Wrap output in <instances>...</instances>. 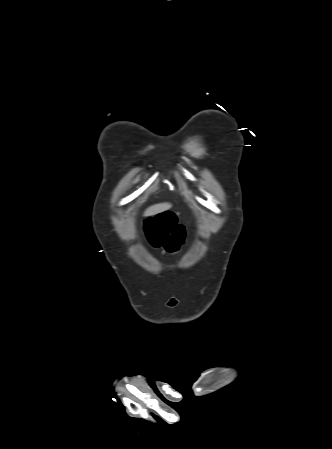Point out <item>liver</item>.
I'll use <instances>...</instances> for the list:
<instances>
[{
	"instance_id": "6515ba94",
	"label": "liver",
	"mask_w": 332,
	"mask_h": 449,
	"mask_svg": "<svg viewBox=\"0 0 332 449\" xmlns=\"http://www.w3.org/2000/svg\"><path fill=\"white\" fill-rule=\"evenodd\" d=\"M172 205L170 203H160L153 206H150L147 208L144 212V216H153L156 214H159L161 212H164L168 209H170Z\"/></svg>"
}]
</instances>
